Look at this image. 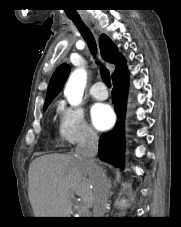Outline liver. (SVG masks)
<instances>
[{"label":"liver","instance_id":"1","mask_svg":"<svg viewBox=\"0 0 181 227\" xmlns=\"http://www.w3.org/2000/svg\"><path fill=\"white\" fill-rule=\"evenodd\" d=\"M29 199L36 217H70L75 195L93 205L94 171L78 156L48 154L32 161Z\"/></svg>","mask_w":181,"mask_h":227}]
</instances>
